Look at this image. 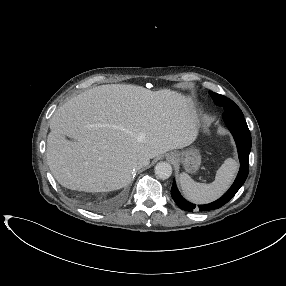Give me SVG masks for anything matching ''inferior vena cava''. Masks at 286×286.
<instances>
[{
  "mask_svg": "<svg viewBox=\"0 0 286 286\" xmlns=\"http://www.w3.org/2000/svg\"><path fill=\"white\" fill-rule=\"evenodd\" d=\"M140 167H141V165H138V166L136 167V169H137V168H140Z\"/></svg>",
  "mask_w": 286,
  "mask_h": 286,
  "instance_id": "obj_1",
  "label": "inferior vena cava"
}]
</instances>
